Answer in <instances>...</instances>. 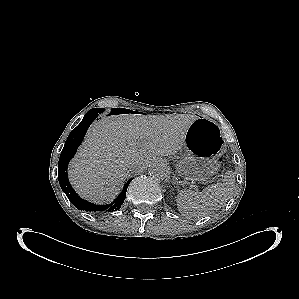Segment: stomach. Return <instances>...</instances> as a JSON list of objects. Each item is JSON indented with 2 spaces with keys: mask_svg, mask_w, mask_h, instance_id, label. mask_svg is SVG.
<instances>
[{
  "mask_svg": "<svg viewBox=\"0 0 299 299\" xmlns=\"http://www.w3.org/2000/svg\"><path fill=\"white\" fill-rule=\"evenodd\" d=\"M225 143L216 122L197 117L189 126L184 141V157L177 171L185 179L203 181L218 170L215 159L224 152Z\"/></svg>",
  "mask_w": 299,
  "mask_h": 299,
  "instance_id": "0dacf381",
  "label": "stomach"
}]
</instances>
